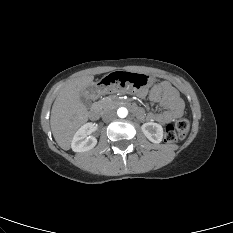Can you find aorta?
Segmentation results:
<instances>
[{"label": "aorta", "mask_w": 233, "mask_h": 233, "mask_svg": "<svg viewBox=\"0 0 233 233\" xmlns=\"http://www.w3.org/2000/svg\"><path fill=\"white\" fill-rule=\"evenodd\" d=\"M117 115H118L120 118H125V117L128 115V110H127L125 107H120V108L117 110Z\"/></svg>", "instance_id": "1"}]
</instances>
